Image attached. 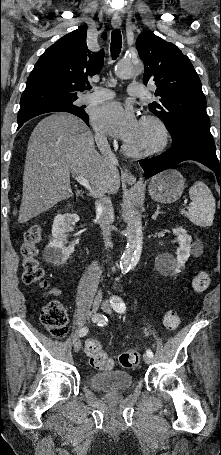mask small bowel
<instances>
[{"mask_svg": "<svg viewBox=\"0 0 221 455\" xmlns=\"http://www.w3.org/2000/svg\"><path fill=\"white\" fill-rule=\"evenodd\" d=\"M64 290L62 288H52L44 294V297H56L62 295Z\"/></svg>", "mask_w": 221, "mask_h": 455, "instance_id": "obj_1", "label": "small bowel"}]
</instances>
